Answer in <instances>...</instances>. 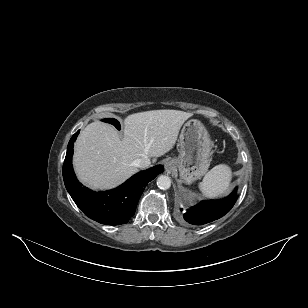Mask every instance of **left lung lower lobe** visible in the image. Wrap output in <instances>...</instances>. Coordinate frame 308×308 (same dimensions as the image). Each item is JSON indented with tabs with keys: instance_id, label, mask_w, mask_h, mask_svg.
Instances as JSON below:
<instances>
[{
	"instance_id": "1",
	"label": "left lung lower lobe",
	"mask_w": 308,
	"mask_h": 308,
	"mask_svg": "<svg viewBox=\"0 0 308 308\" xmlns=\"http://www.w3.org/2000/svg\"><path fill=\"white\" fill-rule=\"evenodd\" d=\"M237 189L226 198L220 200L201 201L183 214V218L190 224L203 225L221 218L228 213L237 200ZM183 211V209H181Z\"/></svg>"
}]
</instances>
